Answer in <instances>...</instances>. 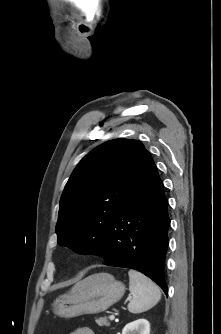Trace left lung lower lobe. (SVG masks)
Segmentation results:
<instances>
[{"label":"left lung lower lobe","instance_id":"obj_1","mask_svg":"<svg viewBox=\"0 0 221 334\" xmlns=\"http://www.w3.org/2000/svg\"><path fill=\"white\" fill-rule=\"evenodd\" d=\"M170 218L163 183L153 163L113 219L102 256L106 265L144 273L167 294L165 260Z\"/></svg>","mask_w":221,"mask_h":334}]
</instances>
